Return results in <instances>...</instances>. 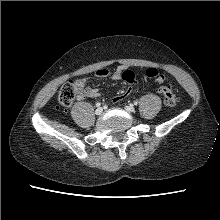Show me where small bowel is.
Returning a JSON list of instances; mask_svg holds the SVG:
<instances>
[{
	"mask_svg": "<svg viewBox=\"0 0 220 220\" xmlns=\"http://www.w3.org/2000/svg\"><path fill=\"white\" fill-rule=\"evenodd\" d=\"M121 73H122V69L117 68L112 72L111 76L114 80H119L121 78ZM95 75L98 78H104V77L109 75V71L107 69H98L96 71ZM75 85H76V89H77L79 99H82L84 97L95 98V97H98L100 95L99 90L96 89V88L91 87L87 83V81L83 78L75 80ZM127 96H128V94L121 93L120 95H118L114 99V101L115 102H120V101L124 100Z\"/></svg>",
	"mask_w": 220,
	"mask_h": 220,
	"instance_id": "1",
	"label": "small bowel"
}]
</instances>
